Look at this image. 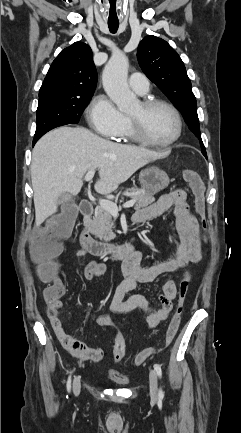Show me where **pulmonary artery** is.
Masks as SVG:
<instances>
[{"mask_svg":"<svg viewBox=\"0 0 241 433\" xmlns=\"http://www.w3.org/2000/svg\"><path fill=\"white\" fill-rule=\"evenodd\" d=\"M130 87L139 95H146L149 92V81L141 73H133L129 78Z\"/></svg>","mask_w":241,"mask_h":433,"instance_id":"obj_1","label":"pulmonary artery"}]
</instances>
